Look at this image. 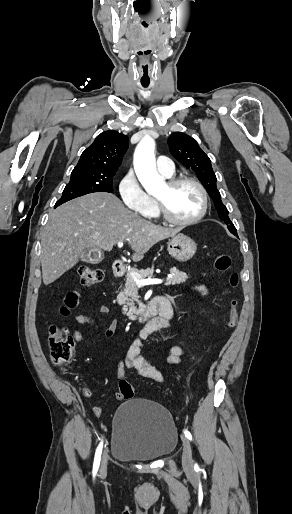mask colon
I'll return each mask as SVG.
<instances>
[{
	"mask_svg": "<svg viewBox=\"0 0 292 514\" xmlns=\"http://www.w3.org/2000/svg\"><path fill=\"white\" fill-rule=\"evenodd\" d=\"M215 266L218 271L229 274L230 288L233 290L237 289L239 286V276L236 272L231 271L230 256L218 254L215 257ZM78 275L80 276L81 283L89 286L98 284L103 279L104 272L101 269L85 266L78 269ZM78 298L79 294L77 292L68 293L62 306L63 310L68 311L73 308ZM230 304L231 312L226 322L228 329L234 328L238 320L237 299L232 298ZM49 345L52 363L60 369L68 366L73 359L74 340L72 336L66 334L62 329L52 327L49 334ZM118 393L123 395L124 399H130L135 393V386L133 384H120L118 386ZM94 413L99 415L101 408L96 407Z\"/></svg>",
	"mask_w": 292,
	"mask_h": 514,
	"instance_id": "obj_1",
	"label": "colon"
}]
</instances>
